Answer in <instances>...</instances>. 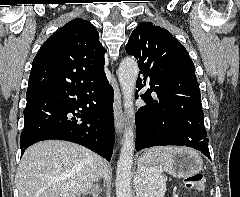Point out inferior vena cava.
Wrapping results in <instances>:
<instances>
[{"mask_svg":"<svg viewBox=\"0 0 240 197\" xmlns=\"http://www.w3.org/2000/svg\"><path fill=\"white\" fill-rule=\"evenodd\" d=\"M104 169H105V164H104L103 159L101 158L100 161H99V170H98V173H97V177L95 179L96 181L104 175Z\"/></svg>","mask_w":240,"mask_h":197,"instance_id":"inferior-vena-cava-1","label":"inferior vena cava"}]
</instances>
